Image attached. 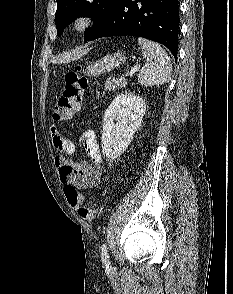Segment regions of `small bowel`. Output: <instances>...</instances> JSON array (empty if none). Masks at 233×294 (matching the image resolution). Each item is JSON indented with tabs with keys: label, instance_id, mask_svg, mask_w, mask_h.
I'll list each match as a JSON object with an SVG mask.
<instances>
[{
	"label": "small bowel",
	"instance_id": "c3829d8e",
	"mask_svg": "<svg viewBox=\"0 0 233 294\" xmlns=\"http://www.w3.org/2000/svg\"><path fill=\"white\" fill-rule=\"evenodd\" d=\"M52 142L54 147L65 155L74 152V143L65 139L55 130H52ZM90 161L75 162L63 156L55 157L61 182L66 186L76 189H89L100 183L102 175V156L99 144L92 130H86L80 137Z\"/></svg>",
	"mask_w": 233,
	"mask_h": 294
}]
</instances>
